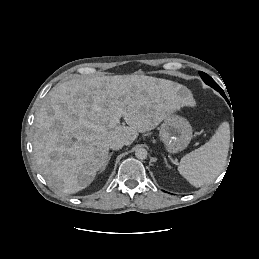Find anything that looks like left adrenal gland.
Wrapping results in <instances>:
<instances>
[{"mask_svg": "<svg viewBox=\"0 0 259 259\" xmlns=\"http://www.w3.org/2000/svg\"><path fill=\"white\" fill-rule=\"evenodd\" d=\"M163 158H164V162L166 164V167L170 168L169 164L167 163V159H166V157L164 155H163Z\"/></svg>", "mask_w": 259, "mask_h": 259, "instance_id": "1", "label": "left adrenal gland"}]
</instances>
